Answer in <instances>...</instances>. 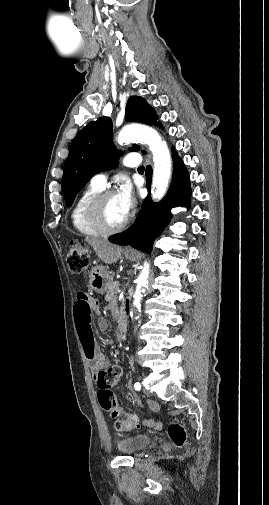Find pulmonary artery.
<instances>
[{"mask_svg": "<svg viewBox=\"0 0 269 505\" xmlns=\"http://www.w3.org/2000/svg\"><path fill=\"white\" fill-rule=\"evenodd\" d=\"M123 164L127 167H136L140 164V156L135 153L128 154L124 157ZM107 178L108 172L97 173L92 177L91 184L103 189L106 186Z\"/></svg>", "mask_w": 269, "mask_h": 505, "instance_id": "pulmonary-artery-1", "label": "pulmonary artery"}]
</instances>
